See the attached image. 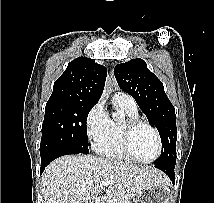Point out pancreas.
<instances>
[{
  "label": "pancreas",
  "instance_id": "1",
  "mask_svg": "<svg viewBox=\"0 0 214 203\" xmlns=\"http://www.w3.org/2000/svg\"><path fill=\"white\" fill-rule=\"evenodd\" d=\"M105 203H129V201L121 199V198H117V199L112 200L111 202H105Z\"/></svg>",
  "mask_w": 214,
  "mask_h": 203
}]
</instances>
